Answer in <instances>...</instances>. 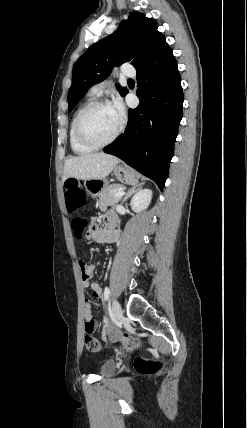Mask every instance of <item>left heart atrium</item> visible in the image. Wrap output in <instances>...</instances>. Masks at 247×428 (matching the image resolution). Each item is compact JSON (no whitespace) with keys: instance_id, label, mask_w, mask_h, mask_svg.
<instances>
[{"instance_id":"39dd6f15","label":"left heart atrium","mask_w":247,"mask_h":428,"mask_svg":"<svg viewBox=\"0 0 247 428\" xmlns=\"http://www.w3.org/2000/svg\"><path fill=\"white\" fill-rule=\"evenodd\" d=\"M111 111L113 112L115 118L120 123L123 121L124 109L120 100L116 99L109 104Z\"/></svg>"}]
</instances>
